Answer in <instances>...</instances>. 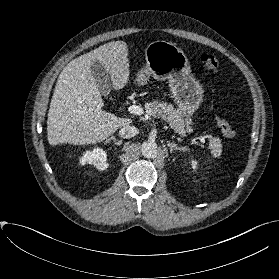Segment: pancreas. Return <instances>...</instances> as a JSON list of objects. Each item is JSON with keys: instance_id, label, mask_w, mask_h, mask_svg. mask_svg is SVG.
<instances>
[{"instance_id": "pancreas-1", "label": "pancreas", "mask_w": 279, "mask_h": 279, "mask_svg": "<svg viewBox=\"0 0 279 279\" xmlns=\"http://www.w3.org/2000/svg\"><path fill=\"white\" fill-rule=\"evenodd\" d=\"M146 112L153 116L158 117L169 123L170 127L177 133L184 135L188 129V121L185 119V113L179 109H175L172 104L164 103L161 101H153L146 105ZM211 148L216 152L220 153L222 145L218 138L210 140Z\"/></svg>"}]
</instances>
